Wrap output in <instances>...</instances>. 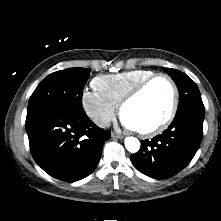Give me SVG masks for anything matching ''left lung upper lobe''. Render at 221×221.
I'll return each instance as SVG.
<instances>
[{"label": "left lung upper lobe", "mask_w": 221, "mask_h": 221, "mask_svg": "<svg viewBox=\"0 0 221 221\" xmlns=\"http://www.w3.org/2000/svg\"><path fill=\"white\" fill-rule=\"evenodd\" d=\"M169 73L172 79L176 82L180 100L178 110L181 111L186 107L191 106H204L200 91L195 82H193L186 74L176 69H165Z\"/></svg>", "instance_id": "obj_1"}]
</instances>
